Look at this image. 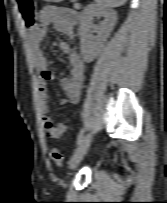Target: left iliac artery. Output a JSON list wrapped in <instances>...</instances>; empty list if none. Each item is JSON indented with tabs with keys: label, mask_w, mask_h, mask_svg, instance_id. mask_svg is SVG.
<instances>
[{
	"label": "left iliac artery",
	"mask_w": 167,
	"mask_h": 203,
	"mask_svg": "<svg viewBox=\"0 0 167 203\" xmlns=\"http://www.w3.org/2000/svg\"><path fill=\"white\" fill-rule=\"evenodd\" d=\"M83 136H84V130L81 129L80 133L78 134V137H77V145L80 144V142L82 141L83 139Z\"/></svg>",
	"instance_id": "left-iliac-artery-1"
}]
</instances>
